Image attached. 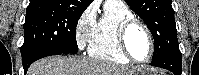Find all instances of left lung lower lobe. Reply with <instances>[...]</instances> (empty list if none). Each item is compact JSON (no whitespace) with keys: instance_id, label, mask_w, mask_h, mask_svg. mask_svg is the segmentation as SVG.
Returning a JSON list of instances; mask_svg holds the SVG:
<instances>
[{"instance_id":"0a47b994","label":"left lung lower lobe","mask_w":199,"mask_h":75,"mask_svg":"<svg viewBox=\"0 0 199 75\" xmlns=\"http://www.w3.org/2000/svg\"><path fill=\"white\" fill-rule=\"evenodd\" d=\"M150 65L161 67L173 72L175 75H181L182 70V55L180 50H176L163 57L153 60Z\"/></svg>"}]
</instances>
